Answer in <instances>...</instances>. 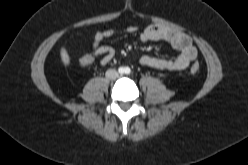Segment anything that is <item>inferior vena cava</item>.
<instances>
[{"label":"inferior vena cava","instance_id":"602c4592","mask_svg":"<svg viewBox=\"0 0 248 165\" xmlns=\"http://www.w3.org/2000/svg\"><path fill=\"white\" fill-rule=\"evenodd\" d=\"M105 76L110 80H115L116 78H118L119 73L115 69H109L106 71Z\"/></svg>","mask_w":248,"mask_h":165}]
</instances>
